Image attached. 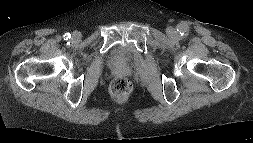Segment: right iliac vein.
<instances>
[{
    "label": "right iliac vein",
    "mask_w": 253,
    "mask_h": 143,
    "mask_svg": "<svg viewBox=\"0 0 253 143\" xmlns=\"http://www.w3.org/2000/svg\"><path fill=\"white\" fill-rule=\"evenodd\" d=\"M79 34L78 33H74L73 35H72V39L74 40V41H77L78 39H79Z\"/></svg>",
    "instance_id": "63e3f726"
}]
</instances>
